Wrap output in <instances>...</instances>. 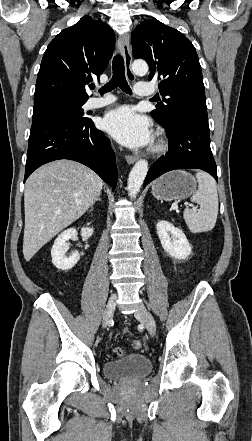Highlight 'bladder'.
I'll list each match as a JSON object with an SVG mask.
<instances>
[{"label":"bladder","instance_id":"obj_1","mask_svg":"<svg viewBox=\"0 0 252 441\" xmlns=\"http://www.w3.org/2000/svg\"><path fill=\"white\" fill-rule=\"evenodd\" d=\"M104 374L116 381L139 380L151 372L152 363L143 355H128L104 363Z\"/></svg>","mask_w":252,"mask_h":441}]
</instances>
